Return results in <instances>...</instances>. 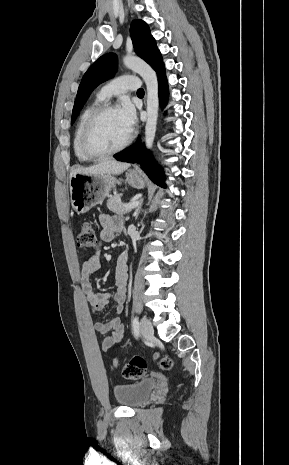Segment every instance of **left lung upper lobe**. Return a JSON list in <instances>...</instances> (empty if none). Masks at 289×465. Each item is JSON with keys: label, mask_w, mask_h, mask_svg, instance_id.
<instances>
[{"label": "left lung upper lobe", "mask_w": 289, "mask_h": 465, "mask_svg": "<svg viewBox=\"0 0 289 465\" xmlns=\"http://www.w3.org/2000/svg\"><path fill=\"white\" fill-rule=\"evenodd\" d=\"M130 34L137 55L151 65L158 76L164 73L162 56L155 39L150 34L148 25L140 19L134 20L131 23ZM116 67L117 56L114 53H108L98 58L86 71L78 88L71 123L74 122L94 88L111 78L116 72Z\"/></svg>", "instance_id": "1"}]
</instances>
